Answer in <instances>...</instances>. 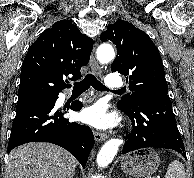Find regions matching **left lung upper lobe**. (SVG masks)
Wrapping results in <instances>:
<instances>
[{"label": "left lung upper lobe", "mask_w": 194, "mask_h": 178, "mask_svg": "<svg viewBox=\"0 0 194 178\" xmlns=\"http://www.w3.org/2000/svg\"><path fill=\"white\" fill-rule=\"evenodd\" d=\"M100 40L116 45L111 71L124 74L131 91L118 102L119 108L130 109L137 96L169 98L159 51L146 33L119 19L108 26Z\"/></svg>", "instance_id": "left-lung-upper-lobe-1"}]
</instances>
